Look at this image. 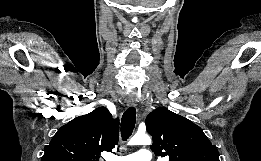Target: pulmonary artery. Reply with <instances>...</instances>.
I'll return each instance as SVG.
<instances>
[{
	"label": "pulmonary artery",
	"instance_id": "e3ab8cb5",
	"mask_svg": "<svg viewBox=\"0 0 261 161\" xmlns=\"http://www.w3.org/2000/svg\"><path fill=\"white\" fill-rule=\"evenodd\" d=\"M112 161H151V156L147 149H140L127 156H113Z\"/></svg>",
	"mask_w": 261,
	"mask_h": 161
}]
</instances>
